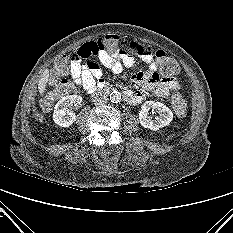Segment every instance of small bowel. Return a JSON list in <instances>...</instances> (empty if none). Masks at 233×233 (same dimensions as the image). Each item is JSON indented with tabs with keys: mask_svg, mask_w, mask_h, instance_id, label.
I'll use <instances>...</instances> for the list:
<instances>
[{
	"mask_svg": "<svg viewBox=\"0 0 233 233\" xmlns=\"http://www.w3.org/2000/svg\"><path fill=\"white\" fill-rule=\"evenodd\" d=\"M122 43V47L116 51L97 50L94 55L104 67L116 74L121 73L125 68L133 67L136 63L135 58L142 60L147 67L143 71L135 72L132 75V80L141 87L153 91L154 96L158 98H167L171 91L179 89L176 79L160 74L158 63L152 51L135 41L122 40ZM126 43H131V48H127ZM90 44H96V42L80 46L73 54L70 74L78 86L88 93H93L97 88L105 85V80L99 66L86 56V48ZM125 97L130 104H139L146 98L143 91L131 90L125 93Z\"/></svg>",
	"mask_w": 233,
	"mask_h": 233,
	"instance_id": "obj_1",
	"label": "small bowel"
}]
</instances>
